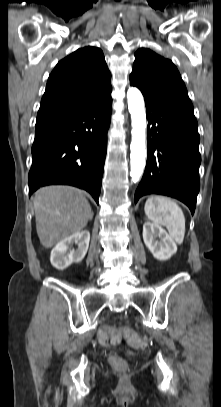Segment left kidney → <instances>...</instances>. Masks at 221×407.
I'll return each instance as SVG.
<instances>
[{
  "mask_svg": "<svg viewBox=\"0 0 221 407\" xmlns=\"http://www.w3.org/2000/svg\"><path fill=\"white\" fill-rule=\"evenodd\" d=\"M143 240L146 247L158 260H168L177 252V245L173 238L158 224L144 223Z\"/></svg>",
  "mask_w": 221,
  "mask_h": 407,
  "instance_id": "5707ae66",
  "label": "left kidney"
}]
</instances>
